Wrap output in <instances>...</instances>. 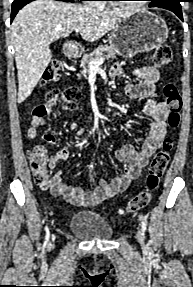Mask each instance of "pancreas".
<instances>
[{
	"label": "pancreas",
	"mask_w": 193,
	"mask_h": 287,
	"mask_svg": "<svg viewBox=\"0 0 193 287\" xmlns=\"http://www.w3.org/2000/svg\"><path fill=\"white\" fill-rule=\"evenodd\" d=\"M116 52L112 49V47L108 45L99 46L97 47L92 53L85 54L81 58L80 67L82 68V71L78 73V78H81L84 74H86L91 68H90V62L91 61H98L101 58H116Z\"/></svg>",
	"instance_id": "cf45deb5"
}]
</instances>
